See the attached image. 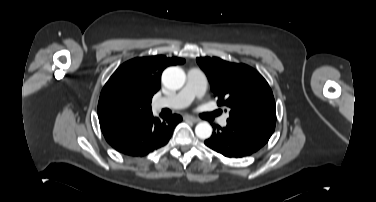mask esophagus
<instances>
[{
  "instance_id": "1",
  "label": "esophagus",
  "mask_w": 376,
  "mask_h": 202,
  "mask_svg": "<svg viewBox=\"0 0 376 202\" xmlns=\"http://www.w3.org/2000/svg\"><path fill=\"white\" fill-rule=\"evenodd\" d=\"M185 118H186L187 120H190V121L194 122V123H196V122L199 121L198 118L193 117V116H191V115H187Z\"/></svg>"
}]
</instances>
